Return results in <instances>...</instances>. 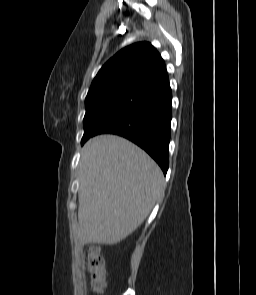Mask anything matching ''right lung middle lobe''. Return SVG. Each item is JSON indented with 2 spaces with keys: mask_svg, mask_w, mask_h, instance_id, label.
Instances as JSON below:
<instances>
[{
  "mask_svg": "<svg viewBox=\"0 0 256 295\" xmlns=\"http://www.w3.org/2000/svg\"><path fill=\"white\" fill-rule=\"evenodd\" d=\"M137 95L118 96L86 107L82 140L98 132L101 127L122 111Z\"/></svg>",
  "mask_w": 256,
  "mask_h": 295,
  "instance_id": "1",
  "label": "right lung middle lobe"
}]
</instances>
